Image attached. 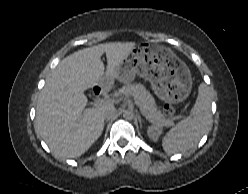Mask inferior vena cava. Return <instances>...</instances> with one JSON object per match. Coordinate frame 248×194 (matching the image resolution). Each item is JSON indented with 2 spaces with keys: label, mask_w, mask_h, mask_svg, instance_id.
<instances>
[{
  "label": "inferior vena cava",
  "mask_w": 248,
  "mask_h": 194,
  "mask_svg": "<svg viewBox=\"0 0 248 194\" xmlns=\"http://www.w3.org/2000/svg\"><path fill=\"white\" fill-rule=\"evenodd\" d=\"M117 110L114 106L110 105L108 107L105 108L104 112H103V116L106 120H110L111 118H113L116 114Z\"/></svg>",
  "instance_id": "inferior-vena-cava-1"
}]
</instances>
